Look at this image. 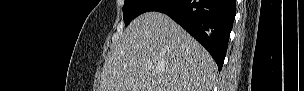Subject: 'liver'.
Returning <instances> with one entry per match:
<instances>
[{
  "label": "liver",
  "instance_id": "6515ba94",
  "mask_svg": "<svg viewBox=\"0 0 304 91\" xmlns=\"http://www.w3.org/2000/svg\"><path fill=\"white\" fill-rule=\"evenodd\" d=\"M216 74L211 55L181 26L146 12L107 56L99 91H210Z\"/></svg>",
  "mask_w": 304,
  "mask_h": 91
}]
</instances>
